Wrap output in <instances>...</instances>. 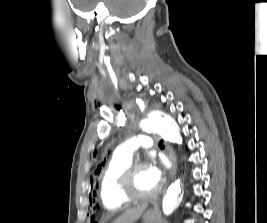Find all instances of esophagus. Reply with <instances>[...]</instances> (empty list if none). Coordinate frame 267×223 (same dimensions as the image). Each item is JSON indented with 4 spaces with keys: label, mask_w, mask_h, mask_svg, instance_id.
<instances>
[{
    "label": "esophagus",
    "mask_w": 267,
    "mask_h": 223,
    "mask_svg": "<svg viewBox=\"0 0 267 223\" xmlns=\"http://www.w3.org/2000/svg\"><path fill=\"white\" fill-rule=\"evenodd\" d=\"M167 151H168V158L171 162L170 176H174V174L176 172V167H177L176 155H175L173 149L169 145H167Z\"/></svg>",
    "instance_id": "obj_1"
}]
</instances>
